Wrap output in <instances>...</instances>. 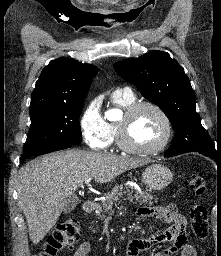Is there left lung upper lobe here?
I'll return each mask as SVG.
<instances>
[{"label":"left lung upper lobe","instance_id":"5c2ea615","mask_svg":"<svg viewBox=\"0 0 221 256\" xmlns=\"http://www.w3.org/2000/svg\"><path fill=\"white\" fill-rule=\"evenodd\" d=\"M114 69L169 118L176 133L170 147L214 145L196 113L195 94L184 68L168 53L151 51L116 62Z\"/></svg>","mask_w":221,"mask_h":256}]
</instances>
